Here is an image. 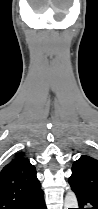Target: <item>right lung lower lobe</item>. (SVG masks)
<instances>
[{"mask_svg":"<svg viewBox=\"0 0 98 209\" xmlns=\"http://www.w3.org/2000/svg\"><path fill=\"white\" fill-rule=\"evenodd\" d=\"M15 209H47L44 201V193L43 191H39L33 197H31L28 201L19 205Z\"/></svg>","mask_w":98,"mask_h":209,"instance_id":"right-lung-lower-lobe-1","label":"right lung lower lobe"}]
</instances>
